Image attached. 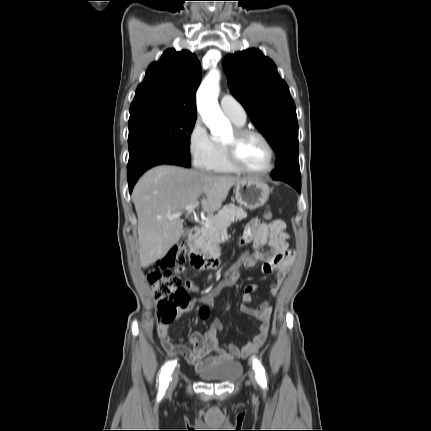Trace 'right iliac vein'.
<instances>
[{"instance_id":"1","label":"right iliac vein","mask_w":431,"mask_h":431,"mask_svg":"<svg viewBox=\"0 0 431 431\" xmlns=\"http://www.w3.org/2000/svg\"><path fill=\"white\" fill-rule=\"evenodd\" d=\"M178 381V373L177 371L174 372L173 376H172V380H171V384H170V389H173Z\"/></svg>"}]
</instances>
